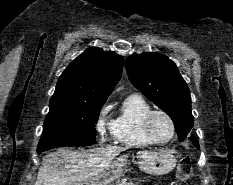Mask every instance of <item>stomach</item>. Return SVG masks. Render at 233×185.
Masks as SVG:
<instances>
[{
    "mask_svg": "<svg viewBox=\"0 0 233 185\" xmlns=\"http://www.w3.org/2000/svg\"><path fill=\"white\" fill-rule=\"evenodd\" d=\"M140 170L152 175H165L176 166V158L165 151H141L137 154ZM127 164L125 156L113 161L111 165L98 176L80 181L74 185H109L122 175Z\"/></svg>",
    "mask_w": 233,
    "mask_h": 185,
    "instance_id": "stomach-1",
    "label": "stomach"
}]
</instances>
